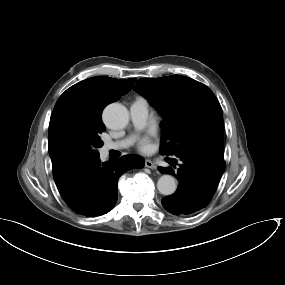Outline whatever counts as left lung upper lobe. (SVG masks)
Segmentation results:
<instances>
[{
    "label": "left lung upper lobe",
    "mask_w": 285,
    "mask_h": 285,
    "mask_svg": "<svg viewBox=\"0 0 285 285\" xmlns=\"http://www.w3.org/2000/svg\"><path fill=\"white\" fill-rule=\"evenodd\" d=\"M134 90L147 98L164 118L161 154L205 153L224 157L222 109L206 85L172 75L139 79Z\"/></svg>",
    "instance_id": "1"
}]
</instances>
